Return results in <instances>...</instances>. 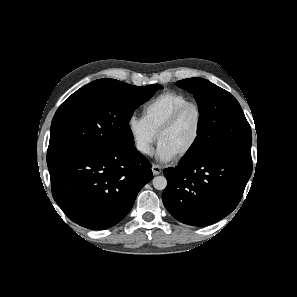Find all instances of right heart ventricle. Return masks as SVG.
I'll list each match as a JSON object with an SVG mask.
<instances>
[{
	"label": "right heart ventricle",
	"instance_id": "right-heart-ventricle-1",
	"mask_svg": "<svg viewBox=\"0 0 297 297\" xmlns=\"http://www.w3.org/2000/svg\"><path fill=\"white\" fill-rule=\"evenodd\" d=\"M191 102L183 93L164 91L142 107V114L150 128L157 134L163 123L182 105Z\"/></svg>",
	"mask_w": 297,
	"mask_h": 297
}]
</instances>
